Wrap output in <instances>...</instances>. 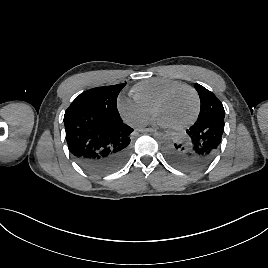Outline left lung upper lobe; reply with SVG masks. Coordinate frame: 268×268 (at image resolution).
<instances>
[{"mask_svg":"<svg viewBox=\"0 0 268 268\" xmlns=\"http://www.w3.org/2000/svg\"><path fill=\"white\" fill-rule=\"evenodd\" d=\"M194 87L201 101L200 113L195 123L202 121L216 122L218 118H224L225 111L220 100L203 86L196 83Z\"/></svg>","mask_w":268,"mask_h":268,"instance_id":"1","label":"left lung upper lobe"}]
</instances>
